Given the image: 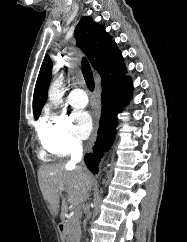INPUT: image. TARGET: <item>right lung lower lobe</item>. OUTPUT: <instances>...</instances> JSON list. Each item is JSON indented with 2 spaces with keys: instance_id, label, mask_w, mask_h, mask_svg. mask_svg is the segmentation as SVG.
Returning a JSON list of instances; mask_svg holds the SVG:
<instances>
[{
  "instance_id": "obj_1",
  "label": "right lung lower lobe",
  "mask_w": 187,
  "mask_h": 242,
  "mask_svg": "<svg viewBox=\"0 0 187 242\" xmlns=\"http://www.w3.org/2000/svg\"><path fill=\"white\" fill-rule=\"evenodd\" d=\"M132 90L129 76H122L102 86V113L97 141L93 147V153L86 154L84 157L86 165L93 173L98 172L100 159L113 142L117 114L131 98Z\"/></svg>"
}]
</instances>
